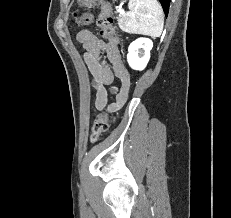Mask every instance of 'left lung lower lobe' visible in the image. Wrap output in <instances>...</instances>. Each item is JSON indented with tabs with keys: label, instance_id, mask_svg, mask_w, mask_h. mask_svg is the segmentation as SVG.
<instances>
[{
	"label": "left lung lower lobe",
	"instance_id": "left-lung-lower-lobe-1",
	"mask_svg": "<svg viewBox=\"0 0 231 218\" xmlns=\"http://www.w3.org/2000/svg\"><path fill=\"white\" fill-rule=\"evenodd\" d=\"M159 1L163 7L165 15L167 16L169 12L170 0H159Z\"/></svg>",
	"mask_w": 231,
	"mask_h": 218
}]
</instances>
